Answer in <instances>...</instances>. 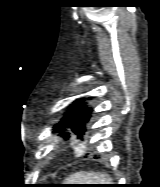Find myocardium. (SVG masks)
<instances>
[{
  "label": "myocardium",
  "mask_w": 160,
  "mask_h": 187,
  "mask_svg": "<svg viewBox=\"0 0 160 187\" xmlns=\"http://www.w3.org/2000/svg\"><path fill=\"white\" fill-rule=\"evenodd\" d=\"M53 141L56 142V141H57V138H55Z\"/></svg>",
  "instance_id": "1"
}]
</instances>
